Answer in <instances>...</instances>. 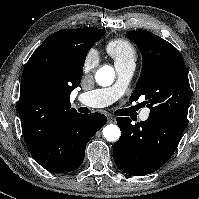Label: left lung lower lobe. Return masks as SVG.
<instances>
[{
  "label": "left lung lower lobe",
  "mask_w": 199,
  "mask_h": 199,
  "mask_svg": "<svg viewBox=\"0 0 199 199\" xmlns=\"http://www.w3.org/2000/svg\"><path fill=\"white\" fill-rule=\"evenodd\" d=\"M120 139L114 144L113 157L124 173L144 176L158 170L175 152L186 124L160 114H149L146 121L132 124L118 117Z\"/></svg>",
  "instance_id": "obj_1"
}]
</instances>
